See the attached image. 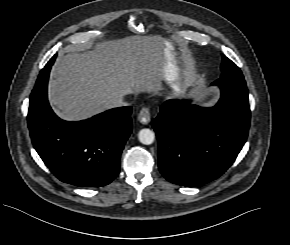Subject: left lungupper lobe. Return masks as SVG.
Here are the masks:
<instances>
[{"instance_id": "5c2ea615", "label": "left lung upper lobe", "mask_w": 290, "mask_h": 245, "mask_svg": "<svg viewBox=\"0 0 290 245\" xmlns=\"http://www.w3.org/2000/svg\"><path fill=\"white\" fill-rule=\"evenodd\" d=\"M221 77H243L241 70L225 55H222Z\"/></svg>"}]
</instances>
